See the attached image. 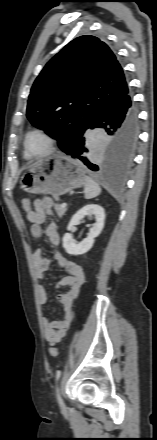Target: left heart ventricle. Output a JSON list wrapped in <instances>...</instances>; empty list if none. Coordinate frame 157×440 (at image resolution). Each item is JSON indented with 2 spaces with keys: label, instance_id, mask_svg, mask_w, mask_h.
Masks as SVG:
<instances>
[{
  "label": "left heart ventricle",
  "instance_id": "b2bd125f",
  "mask_svg": "<svg viewBox=\"0 0 157 440\" xmlns=\"http://www.w3.org/2000/svg\"><path fill=\"white\" fill-rule=\"evenodd\" d=\"M27 146L30 154H41L47 149V141L39 134H32L28 138Z\"/></svg>",
  "mask_w": 157,
  "mask_h": 440
}]
</instances>
